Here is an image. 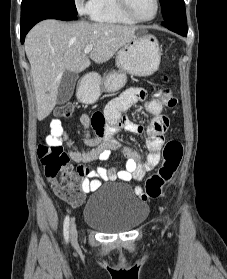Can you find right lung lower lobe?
<instances>
[{
	"mask_svg": "<svg viewBox=\"0 0 227 279\" xmlns=\"http://www.w3.org/2000/svg\"><path fill=\"white\" fill-rule=\"evenodd\" d=\"M44 19L76 20L77 14L72 13L59 4L49 0H38L27 9L21 11L20 36L24 42L26 34L39 21Z\"/></svg>",
	"mask_w": 227,
	"mask_h": 279,
	"instance_id": "1",
	"label": "right lung lower lobe"
}]
</instances>
